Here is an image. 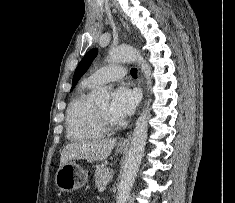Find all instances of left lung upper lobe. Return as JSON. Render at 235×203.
Masks as SVG:
<instances>
[{
	"label": "left lung upper lobe",
	"instance_id": "obj_1",
	"mask_svg": "<svg viewBox=\"0 0 235 203\" xmlns=\"http://www.w3.org/2000/svg\"><path fill=\"white\" fill-rule=\"evenodd\" d=\"M98 50L92 49L90 50L80 61L78 67L75 70L72 82V88L76 85L77 81L83 76V74L87 71L93 59L96 57Z\"/></svg>",
	"mask_w": 235,
	"mask_h": 203
}]
</instances>
